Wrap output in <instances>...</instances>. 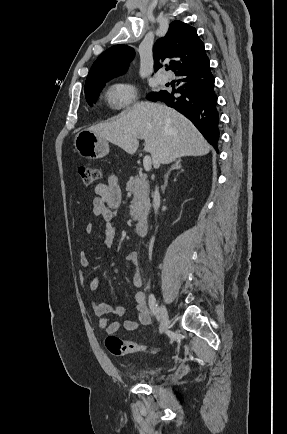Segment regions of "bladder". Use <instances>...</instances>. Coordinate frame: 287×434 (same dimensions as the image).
<instances>
[{"instance_id":"31cf9c89","label":"bladder","mask_w":287,"mask_h":434,"mask_svg":"<svg viewBox=\"0 0 287 434\" xmlns=\"http://www.w3.org/2000/svg\"><path fill=\"white\" fill-rule=\"evenodd\" d=\"M160 374V369H141L136 374L135 377L142 381H152Z\"/></svg>"}]
</instances>
